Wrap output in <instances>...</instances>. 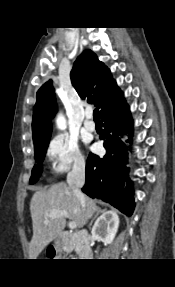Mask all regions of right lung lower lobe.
I'll list each match as a JSON object with an SVG mask.
<instances>
[{
	"label": "right lung lower lobe",
	"instance_id": "1",
	"mask_svg": "<svg viewBox=\"0 0 175 287\" xmlns=\"http://www.w3.org/2000/svg\"><path fill=\"white\" fill-rule=\"evenodd\" d=\"M101 121L104 122V130L100 139H104L107 152L103 158L90 153L82 191L131 216L135 206L133 186L125 169L127 156L121 154L125 144L119 140V136L128 133L131 137L133 133V120L126 101L105 112Z\"/></svg>",
	"mask_w": 175,
	"mask_h": 287
}]
</instances>
